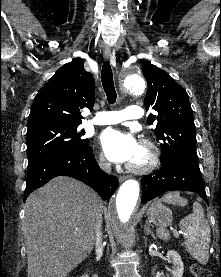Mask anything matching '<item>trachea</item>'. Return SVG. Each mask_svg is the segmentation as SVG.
<instances>
[{"label": "trachea", "instance_id": "1", "mask_svg": "<svg viewBox=\"0 0 221 277\" xmlns=\"http://www.w3.org/2000/svg\"><path fill=\"white\" fill-rule=\"evenodd\" d=\"M102 86L106 93L109 104H114L117 93L114 87L112 69L109 62H104L102 66Z\"/></svg>", "mask_w": 221, "mask_h": 277}]
</instances>
